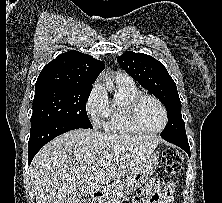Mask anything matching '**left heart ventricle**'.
I'll list each match as a JSON object with an SVG mask.
<instances>
[{"label": "left heart ventricle", "mask_w": 222, "mask_h": 203, "mask_svg": "<svg viewBox=\"0 0 222 203\" xmlns=\"http://www.w3.org/2000/svg\"><path fill=\"white\" fill-rule=\"evenodd\" d=\"M138 117L141 124L150 130H155L163 124L161 108L151 99H144L138 107Z\"/></svg>", "instance_id": "obj_1"}]
</instances>
